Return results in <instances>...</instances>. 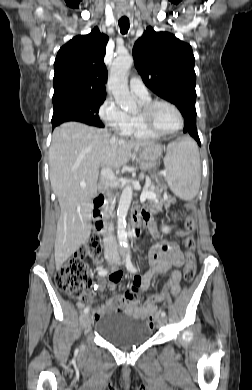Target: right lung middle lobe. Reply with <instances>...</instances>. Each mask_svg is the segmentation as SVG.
<instances>
[{
  "instance_id": "right-lung-middle-lobe-1",
  "label": "right lung middle lobe",
  "mask_w": 252,
  "mask_h": 390,
  "mask_svg": "<svg viewBox=\"0 0 252 390\" xmlns=\"http://www.w3.org/2000/svg\"><path fill=\"white\" fill-rule=\"evenodd\" d=\"M105 98L70 97L53 101L52 125L66 121H78L92 126L104 127L98 112Z\"/></svg>"
}]
</instances>
